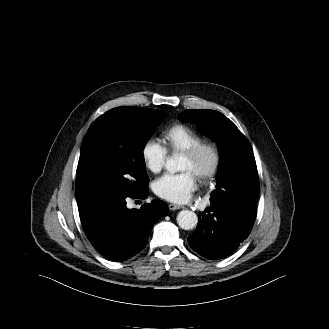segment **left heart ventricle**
<instances>
[{
    "label": "left heart ventricle",
    "instance_id": "obj_1",
    "mask_svg": "<svg viewBox=\"0 0 329 329\" xmlns=\"http://www.w3.org/2000/svg\"><path fill=\"white\" fill-rule=\"evenodd\" d=\"M210 164V157L209 155H203L199 160H191L188 157L183 155L182 161H181V170H190L192 171L196 176L199 172L205 170Z\"/></svg>",
    "mask_w": 329,
    "mask_h": 329
}]
</instances>
